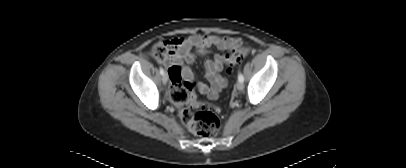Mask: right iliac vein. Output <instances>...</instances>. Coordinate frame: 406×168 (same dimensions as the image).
<instances>
[{
    "label": "right iliac vein",
    "mask_w": 406,
    "mask_h": 168,
    "mask_svg": "<svg viewBox=\"0 0 406 168\" xmlns=\"http://www.w3.org/2000/svg\"><path fill=\"white\" fill-rule=\"evenodd\" d=\"M167 81H168V75H167L166 72H164V73L162 74V82H163L164 84H166Z\"/></svg>",
    "instance_id": "1"
}]
</instances>
